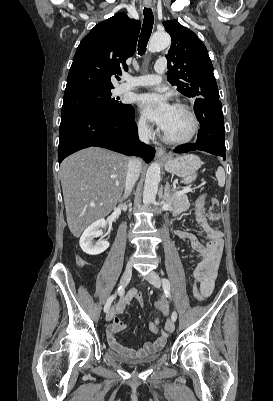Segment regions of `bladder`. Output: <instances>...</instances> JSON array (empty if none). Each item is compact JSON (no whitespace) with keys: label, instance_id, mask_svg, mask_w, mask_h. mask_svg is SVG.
Here are the masks:
<instances>
[{"label":"bladder","instance_id":"bladder-1","mask_svg":"<svg viewBox=\"0 0 273 401\" xmlns=\"http://www.w3.org/2000/svg\"><path fill=\"white\" fill-rule=\"evenodd\" d=\"M109 354L113 360H115L118 363L128 365V366H140V365H149L157 361L160 357V353H155L153 355H150L144 359L141 360H129L121 356L120 354L112 351L109 349Z\"/></svg>","mask_w":273,"mask_h":401}]
</instances>
